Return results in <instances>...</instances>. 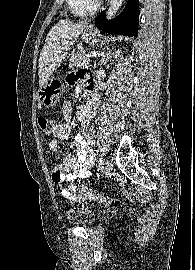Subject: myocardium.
Returning a JSON list of instances; mask_svg holds the SVG:
<instances>
[{
	"mask_svg": "<svg viewBox=\"0 0 195 270\" xmlns=\"http://www.w3.org/2000/svg\"><path fill=\"white\" fill-rule=\"evenodd\" d=\"M95 1H96V9H97V7H98L101 0H95Z\"/></svg>",
	"mask_w": 195,
	"mask_h": 270,
	"instance_id": "myocardium-1",
	"label": "myocardium"
}]
</instances>
